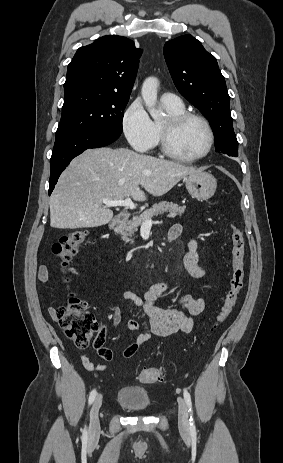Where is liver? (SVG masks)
<instances>
[{
    "label": "liver",
    "mask_w": 283,
    "mask_h": 463,
    "mask_svg": "<svg viewBox=\"0 0 283 463\" xmlns=\"http://www.w3.org/2000/svg\"><path fill=\"white\" fill-rule=\"evenodd\" d=\"M199 171L126 148L88 149L71 161L58 180L49 203L50 226L77 229L108 224L113 211L103 199L131 196L145 201L146 194L139 186L153 196H162Z\"/></svg>",
    "instance_id": "6515ba94"
}]
</instances>
